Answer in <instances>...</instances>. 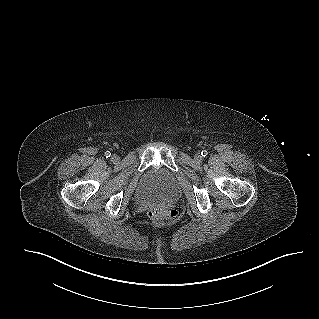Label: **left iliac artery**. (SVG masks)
Returning <instances> with one entry per match:
<instances>
[{"instance_id": "44dca946", "label": "left iliac artery", "mask_w": 319, "mask_h": 319, "mask_svg": "<svg viewBox=\"0 0 319 319\" xmlns=\"http://www.w3.org/2000/svg\"><path fill=\"white\" fill-rule=\"evenodd\" d=\"M207 154H208V152H207L206 150H203V151L201 152V155H202L203 157H206Z\"/></svg>"}]
</instances>
